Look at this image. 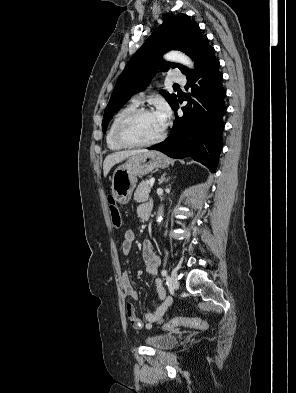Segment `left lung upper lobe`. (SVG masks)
Returning <instances> with one entry per match:
<instances>
[{
    "instance_id": "5c2ea615",
    "label": "left lung upper lobe",
    "mask_w": 296,
    "mask_h": 393,
    "mask_svg": "<svg viewBox=\"0 0 296 393\" xmlns=\"http://www.w3.org/2000/svg\"><path fill=\"white\" fill-rule=\"evenodd\" d=\"M169 50L186 52L195 60V67L198 68L214 48L208 44L207 37L201 34L198 24L191 21L186 14H165L163 24L153 31L119 76L104 112L103 133L106 131L112 115L132 95L148 86L157 69L167 71L170 66L178 67L186 77L194 73L183 65L163 62L161 57ZM163 95L174 109L178 103L177 96L167 93H163Z\"/></svg>"
}]
</instances>
